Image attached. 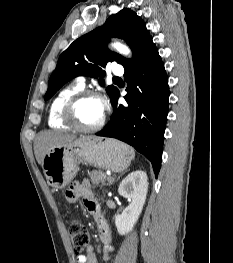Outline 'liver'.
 Masks as SVG:
<instances>
[{
    "label": "liver",
    "instance_id": "6515ba94",
    "mask_svg": "<svg viewBox=\"0 0 233 263\" xmlns=\"http://www.w3.org/2000/svg\"><path fill=\"white\" fill-rule=\"evenodd\" d=\"M74 139H76L75 135L60 131L40 132L34 141V153L38 163L42 166L43 157L49 149Z\"/></svg>",
    "mask_w": 233,
    "mask_h": 263
}]
</instances>
